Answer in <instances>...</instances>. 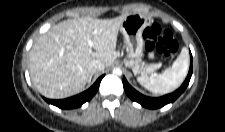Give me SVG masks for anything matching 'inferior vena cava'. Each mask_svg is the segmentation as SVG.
Masks as SVG:
<instances>
[{
  "mask_svg": "<svg viewBox=\"0 0 225 132\" xmlns=\"http://www.w3.org/2000/svg\"><path fill=\"white\" fill-rule=\"evenodd\" d=\"M104 68H105L104 63H102L99 60H93L89 65L91 74L101 73L104 70Z\"/></svg>",
  "mask_w": 225,
  "mask_h": 132,
  "instance_id": "1",
  "label": "inferior vena cava"
}]
</instances>
